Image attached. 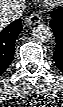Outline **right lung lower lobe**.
I'll return each mask as SVG.
<instances>
[{
    "label": "right lung lower lobe",
    "mask_w": 63,
    "mask_h": 107,
    "mask_svg": "<svg viewBox=\"0 0 63 107\" xmlns=\"http://www.w3.org/2000/svg\"><path fill=\"white\" fill-rule=\"evenodd\" d=\"M22 29L21 20H15L0 32V75L13 60L15 41Z\"/></svg>",
    "instance_id": "98d812e1"
}]
</instances>
